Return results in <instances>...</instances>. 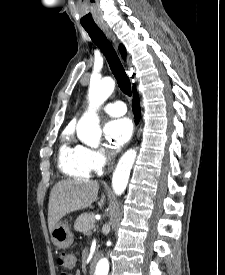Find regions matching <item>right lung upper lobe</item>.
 <instances>
[{
    "mask_svg": "<svg viewBox=\"0 0 225 275\" xmlns=\"http://www.w3.org/2000/svg\"><path fill=\"white\" fill-rule=\"evenodd\" d=\"M119 49H120V52H121L123 58H125V56H126V50H125L124 46H123V45H120V46H119Z\"/></svg>",
    "mask_w": 225,
    "mask_h": 275,
    "instance_id": "1",
    "label": "right lung upper lobe"
}]
</instances>
